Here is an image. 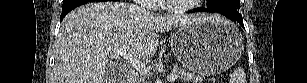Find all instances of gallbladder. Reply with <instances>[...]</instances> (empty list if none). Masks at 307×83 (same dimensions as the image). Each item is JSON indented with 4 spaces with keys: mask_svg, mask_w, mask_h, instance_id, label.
Instances as JSON below:
<instances>
[{
    "mask_svg": "<svg viewBox=\"0 0 307 83\" xmlns=\"http://www.w3.org/2000/svg\"><path fill=\"white\" fill-rule=\"evenodd\" d=\"M106 77H107V79H109V78L113 79V77H112V75H111V73H110V72H109V73H107ZM107 82H113V81H107Z\"/></svg>",
    "mask_w": 307,
    "mask_h": 83,
    "instance_id": "1",
    "label": "gallbladder"
}]
</instances>
